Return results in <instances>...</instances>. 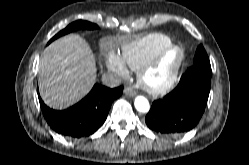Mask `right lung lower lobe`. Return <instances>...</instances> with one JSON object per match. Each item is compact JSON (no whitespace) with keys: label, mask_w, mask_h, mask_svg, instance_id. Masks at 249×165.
<instances>
[{"label":"right lung lower lobe","mask_w":249,"mask_h":165,"mask_svg":"<svg viewBox=\"0 0 249 165\" xmlns=\"http://www.w3.org/2000/svg\"><path fill=\"white\" fill-rule=\"evenodd\" d=\"M123 87L110 89L94 85L91 92L80 102L66 110H53L40 101L44 118L57 133L80 138L93 134L105 122L112 102L118 98Z\"/></svg>","instance_id":"obj_1"}]
</instances>
